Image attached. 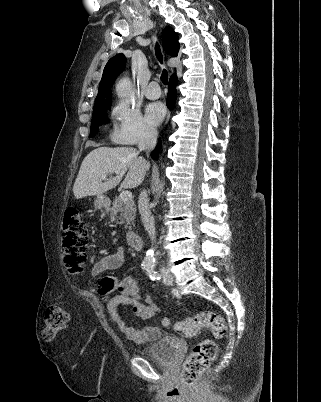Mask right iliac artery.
I'll return each instance as SVG.
<instances>
[{"instance_id": "obj_1", "label": "right iliac artery", "mask_w": 321, "mask_h": 402, "mask_svg": "<svg viewBox=\"0 0 321 402\" xmlns=\"http://www.w3.org/2000/svg\"><path fill=\"white\" fill-rule=\"evenodd\" d=\"M150 267H152V265H145L144 269L148 270Z\"/></svg>"}]
</instances>
